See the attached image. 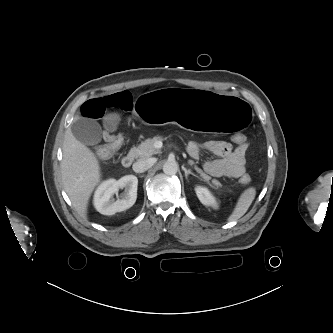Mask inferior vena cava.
<instances>
[{"mask_svg": "<svg viewBox=\"0 0 333 333\" xmlns=\"http://www.w3.org/2000/svg\"><path fill=\"white\" fill-rule=\"evenodd\" d=\"M154 165V159H140L135 162L132 169L136 173H143Z\"/></svg>", "mask_w": 333, "mask_h": 333, "instance_id": "inferior-vena-cava-1", "label": "inferior vena cava"}]
</instances>
